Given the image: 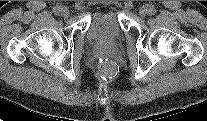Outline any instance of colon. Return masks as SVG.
I'll return each mask as SVG.
<instances>
[{"label":"colon","instance_id":"5ec220e1","mask_svg":"<svg viewBox=\"0 0 207 121\" xmlns=\"http://www.w3.org/2000/svg\"><path fill=\"white\" fill-rule=\"evenodd\" d=\"M115 69L114 63L108 60L104 61L100 66V72L106 76L112 75Z\"/></svg>","mask_w":207,"mask_h":121}]
</instances>
